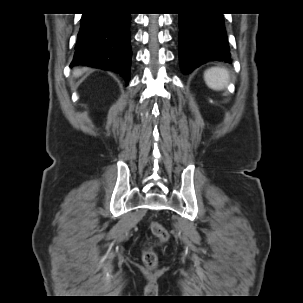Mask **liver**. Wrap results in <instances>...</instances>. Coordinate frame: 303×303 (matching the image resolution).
<instances>
[{
    "label": "liver",
    "mask_w": 303,
    "mask_h": 303,
    "mask_svg": "<svg viewBox=\"0 0 303 303\" xmlns=\"http://www.w3.org/2000/svg\"><path fill=\"white\" fill-rule=\"evenodd\" d=\"M84 71H86V69H83V70L76 69V70H74V75L80 76Z\"/></svg>",
    "instance_id": "liver-1"
}]
</instances>
